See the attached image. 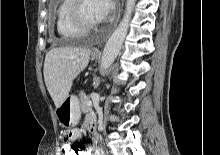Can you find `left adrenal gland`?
<instances>
[{"label": "left adrenal gland", "instance_id": "a2214340", "mask_svg": "<svg viewBox=\"0 0 220 155\" xmlns=\"http://www.w3.org/2000/svg\"><path fill=\"white\" fill-rule=\"evenodd\" d=\"M99 84H100V81H99V79L97 78L96 81H95V88H97V87L99 86Z\"/></svg>", "mask_w": 220, "mask_h": 155}]
</instances>
